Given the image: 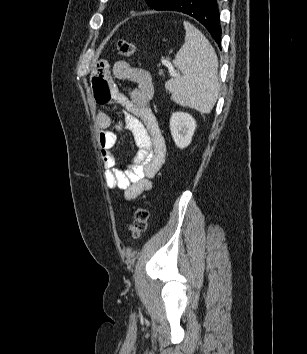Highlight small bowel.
I'll return each mask as SVG.
<instances>
[{"instance_id":"obj_1","label":"small bowel","mask_w":307,"mask_h":354,"mask_svg":"<svg viewBox=\"0 0 307 354\" xmlns=\"http://www.w3.org/2000/svg\"><path fill=\"white\" fill-rule=\"evenodd\" d=\"M112 72L116 79L130 81L137 86L128 94L122 93L110 79L108 62L102 60L96 65L93 74L94 98L100 105L113 102L122 107L121 118L114 127L117 131L131 132L137 152L126 170L116 167L113 153L116 134L110 129L112 119L108 113L99 112L96 119L100 129L99 143L105 168L104 177L108 187L123 190L125 198L133 200L151 189V179L165 162L166 143L150 107L154 96L150 73L125 61L116 62Z\"/></svg>"}]
</instances>
